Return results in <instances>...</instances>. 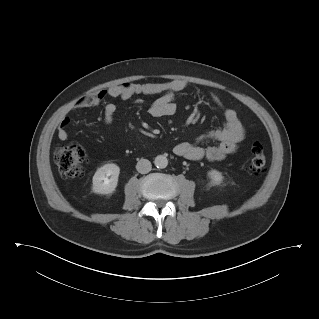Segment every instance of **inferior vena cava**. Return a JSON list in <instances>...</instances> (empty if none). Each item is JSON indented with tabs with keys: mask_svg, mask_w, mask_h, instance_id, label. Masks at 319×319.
<instances>
[{
	"mask_svg": "<svg viewBox=\"0 0 319 319\" xmlns=\"http://www.w3.org/2000/svg\"><path fill=\"white\" fill-rule=\"evenodd\" d=\"M136 169L141 174H146L151 171L152 165L151 162L147 159H140L137 162Z\"/></svg>",
	"mask_w": 319,
	"mask_h": 319,
	"instance_id": "1",
	"label": "inferior vena cava"
}]
</instances>
